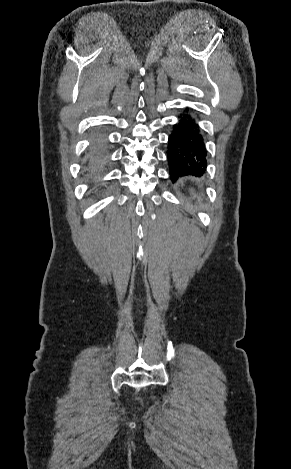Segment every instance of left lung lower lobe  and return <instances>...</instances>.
Wrapping results in <instances>:
<instances>
[{"instance_id":"1","label":"left lung lower lobe","mask_w":291,"mask_h":469,"mask_svg":"<svg viewBox=\"0 0 291 469\" xmlns=\"http://www.w3.org/2000/svg\"><path fill=\"white\" fill-rule=\"evenodd\" d=\"M168 139L170 178L201 176L207 167L204 139L195 120L187 113L179 116Z\"/></svg>"}]
</instances>
